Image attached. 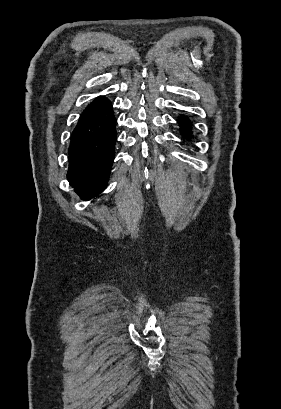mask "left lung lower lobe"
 Returning <instances> with one entry per match:
<instances>
[{
    "mask_svg": "<svg viewBox=\"0 0 281 409\" xmlns=\"http://www.w3.org/2000/svg\"><path fill=\"white\" fill-rule=\"evenodd\" d=\"M178 123H179V125L181 127L182 135H184L186 138H191L192 137L191 136V134H192V131H191L192 123H191V121L187 117L183 116V117H180L178 119Z\"/></svg>",
    "mask_w": 281,
    "mask_h": 409,
    "instance_id": "obj_1",
    "label": "left lung lower lobe"
}]
</instances>
